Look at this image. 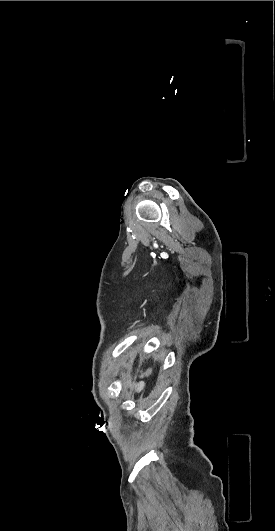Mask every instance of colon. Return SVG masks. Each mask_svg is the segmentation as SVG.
<instances>
[{
  "mask_svg": "<svg viewBox=\"0 0 275 531\" xmlns=\"http://www.w3.org/2000/svg\"><path fill=\"white\" fill-rule=\"evenodd\" d=\"M152 370H153L152 368H147V369H144L142 371V373H143V375L147 376V375L151 374Z\"/></svg>",
  "mask_w": 275,
  "mask_h": 531,
  "instance_id": "colon-1",
  "label": "colon"
}]
</instances>
